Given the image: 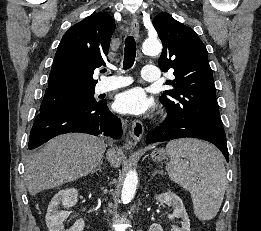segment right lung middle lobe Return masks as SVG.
Here are the masks:
<instances>
[{"label":"right lung middle lobe","mask_w":261,"mask_h":231,"mask_svg":"<svg viewBox=\"0 0 261 231\" xmlns=\"http://www.w3.org/2000/svg\"><path fill=\"white\" fill-rule=\"evenodd\" d=\"M94 88L46 90L40 113L50 112L69 106L96 104Z\"/></svg>","instance_id":"1"}]
</instances>
